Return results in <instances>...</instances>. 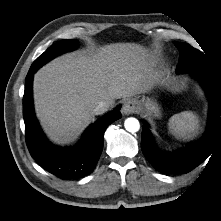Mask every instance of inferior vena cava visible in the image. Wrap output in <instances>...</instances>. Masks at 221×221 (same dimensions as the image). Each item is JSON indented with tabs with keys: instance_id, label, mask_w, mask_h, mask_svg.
I'll list each match as a JSON object with an SVG mask.
<instances>
[{
	"instance_id": "inferior-vena-cava-1",
	"label": "inferior vena cava",
	"mask_w": 221,
	"mask_h": 221,
	"mask_svg": "<svg viewBox=\"0 0 221 221\" xmlns=\"http://www.w3.org/2000/svg\"><path fill=\"white\" fill-rule=\"evenodd\" d=\"M109 107H110V104L108 102L101 101L94 108L93 113L95 115H101V114L105 113L106 111H108Z\"/></svg>"
}]
</instances>
